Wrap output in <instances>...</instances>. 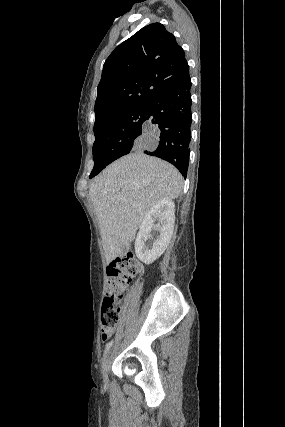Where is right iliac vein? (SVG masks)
Segmentation results:
<instances>
[{"mask_svg":"<svg viewBox=\"0 0 285 427\" xmlns=\"http://www.w3.org/2000/svg\"><path fill=\"white\" fill-rule=\"evenodd\" d=\"M109 368V357L107 356L103 364V379L107 381V373Z\"/></svg>","mask_w":285,"mask_h":427,"instance_id":"right-iliac-vein-1","label":"right iliac vein"}]
</instances>
